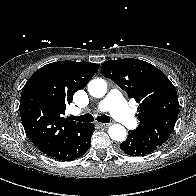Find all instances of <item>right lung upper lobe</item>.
Instances as JSON below:
<instances>
[{
    "label": "right lung upper lobe",
    "mask_w": 196,
    "mask_h": 196,
    "mask_svg": "<svg viewBox=\"0 0 196 196\" xmlns=\"http://www.w3.org/2000/svg\"><path fill=\"white\" fill-rule=\"evenodd\" d=\"M99 68L90 62L59 61L37 70L22 89L20 115L26 135L41 152L63 143L79 128L62 117L74 93L83 89Z\"/></svg>",
    "instance_id": "obj_1"
}]
</instances>
